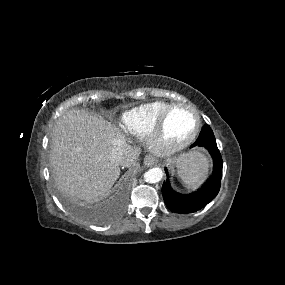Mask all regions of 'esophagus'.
<instances>
[{
  "label": "esophagus",
  "instance_id": "34e87169",
  "mask_svg": "<svg viewBox=\"0 0 285 285\" xmlns=\"http://www.w3.org/2000/svg\"><path fill=\"white\" fill-rule=\"evenodd\" d=\"M144 164L148 167L153 166L155 164V159L152 156L147 155L144 158Z\"/></svg>",
  "mask_w": 285,
  "mask_h": 285
}]
</instances>
